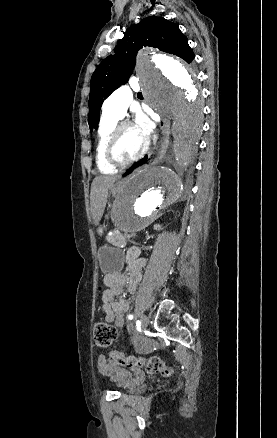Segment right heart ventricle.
Returning a JSON list of instances; mask_svg holds the SVG:
<instances>
[{
    "label": "right heart ventricle",
    "instance_id": "1",
    "mask_svg": "<svg viewBox=\"0 0 277 438\" xmlns=\"http://www.w3.org/2000/svg\"><path fill=\"white\" fill-rule=\"evenodd\" d=\"M116 119L105 118L102 116L98 129V143L96 148V160L99 170L105 174H112L116 172V167L109 164L106 160L105 149L109 136L117 124Z\"/></svg>",
    "mask_w": 277,
    "mask_h": 438
}]
</instances>
